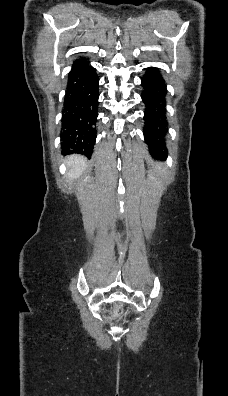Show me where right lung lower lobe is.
Masks as SVG:
<instances>
[{"instance_id":"98d812e1","label":"right lung lower lobe","mask_w":228,"mask_h":396,"mask_svg":"<svg viewBox=\"0 0 228 396\" xmlns=\"http://www.w3.org/2000/svg\"><path fill=\"white\" fill-rule=\"evenodd\" d=\"M99 78L89 62L74 61L68 75V86L62 116L61 146L65 154L90 157L96 139Z\"/></svg>"}]
</instances>
